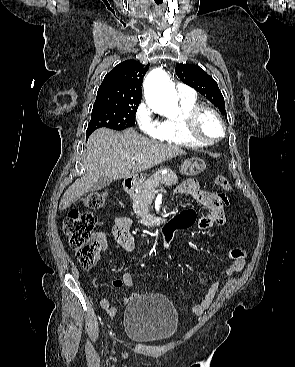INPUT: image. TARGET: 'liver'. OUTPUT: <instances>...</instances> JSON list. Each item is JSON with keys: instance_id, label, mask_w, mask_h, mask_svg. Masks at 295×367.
<instances>
[{"instance_id": "obj_1", "label": "liver", "mask_w": 295, "mask_h": 367, "mask_svg": "<svg viewBox=\"0 0 295 367\" xmlns=\"http://www.w3.org/2000/svg\"><path fill=\"white\" fill-rule=\"evenodd\" d=\"M185 154L176 145L150 140L132 128L123 132L99 128L90 135L83 153L84 175L66 190L59 209L71 206L101 178L125 179L131 171H145Z\"/></svg>"}]
</instances>
